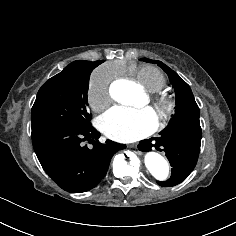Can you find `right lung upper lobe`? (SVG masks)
Segmentation results:
<instances>
[{"mask_svg": "<svg viewBox=\"0 0 236 236\" xmlns=\"http://www.w3.org/2000/svg\"><path fill=\"white\" fill-rule=\"evenodd\" d=\"M103 61H85V60H78L70 63L68 66H76V65H81V66H88V67H97L99 64H101Z\"/></svg>", "mask_w": 236, "mask_h": 236, "instance_id": "cb5924a9", "label": "right lung upper lobe"}]
</instances>
